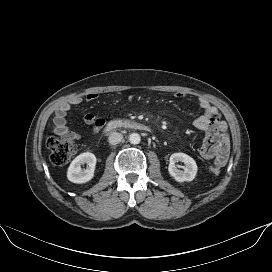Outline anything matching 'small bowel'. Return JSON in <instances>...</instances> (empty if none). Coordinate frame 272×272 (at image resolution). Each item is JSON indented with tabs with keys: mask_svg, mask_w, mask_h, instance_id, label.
I'll return each instance as SVG.
<instances>
[{
	"mask_svg": "<svg viewBox=\"0 0 272 272\" xmlns=\"http://www.w3.org/2000/svg\"><path fill=\"white\" fill-rule=\"evenodd\" d=\"M177 98H183L184 94L176 93ZM98 98L96 93L86 96V101H94ZM81 97H73L68 102L63 103L55 113L53 123L54 130L63 138L69 141L79 140L80 134L69 127L67 114L72 105L81 103ZM199 106L203 109V114L195 119L194 126L205 132L206 137L200 149V156L205 160H213L215 166L223 167L229 156L230 139L227 132V125L221 119L217 109L207 100L199 99ZM85 123L92 128V133L96 134L104 125L105 119L92 113L84 117Z\"/></svg>",
	"mask_w": 272,
	"mask_h": 272,
	"instance_id": "small-bowel-1",
	"label": "small bowel"
}]
</instances>
